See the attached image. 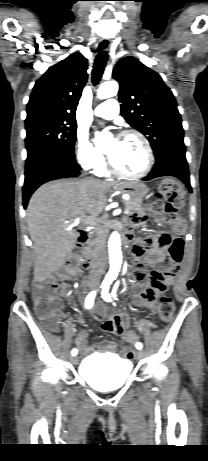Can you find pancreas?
Segmentation results:
<instances>
[{
	"label": "pancreas",
	"instance_id": "pancreas-1",
	"mask_svg": "<svg viewBox=\"0 0 208 461\" xmlns=\"http://www.w3.org/2000/svg\"><path fill=\"white\" fill-rule=\"evenodd\" d=\"M123 202H124L125 208L128 209V211L130 213L138 211V210L141 209L142 199H133V198H131V199L123 201ZM96 242H97V239L93 240L89 244V247L87 248V250L91 251V252H94L96 250Z\"/></svg>",
	"mask_w": 208,
	"mask_h": 461
}]
</instances>
